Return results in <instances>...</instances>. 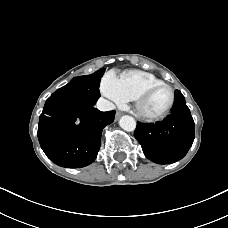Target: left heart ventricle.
<instances>
[{
    "mask_svg": "<svg viewBox=\"0 0 228 228\" xmlns=\"http://www.w3.org/2000/svg\"><path fill=\"white\" fill-rule=\"evenodd\" d=\"M170 98V90L166 87H159L145 98L141 105L142 111L150 115L159 114L168 106Z\"/></svg>",
    "mask_w": 228,
    "mask_h": 228,
    "instance_id": "left-heart-ventricle-1",
    "label": "left heart ventricle"
}]
</instances>
